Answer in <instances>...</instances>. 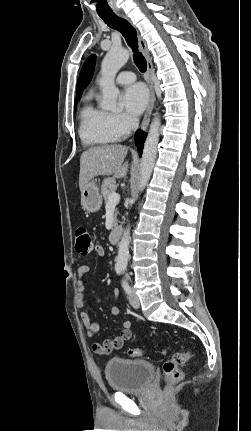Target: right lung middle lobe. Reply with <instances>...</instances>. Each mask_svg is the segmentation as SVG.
I'll list each match as a JSON object with an SVG mask.
<instances>
[{
  "label": "right lung middle lobe",
  "instance_id": "dd1d6c3e",
  "mask_svg": "<svg viewBox=\"0 0 251 431\" xmlns=\"http://www.w3.org/2000/svg\"><path fill=\"white\" fill-rule=\"evenodd\" d=\"M77 101H79V99H75V102H74V108H76Z\"/></svg>",
  "mask_w": 251,
  "mask_h": 431
}]
</instances>
